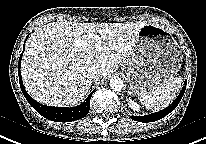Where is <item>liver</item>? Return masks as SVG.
<instances>
[{
  "instance_id": "liver-1",
  "label": "liver",
  "mask_w": 206,
  "mask_h": 144,
  "mask_svg": "<svg viewBox=\"0 0 206 144\" xmlns=\"http://www.w3.org/2000/svg\"><path fill=\"white\" fill-rule=\"evenodd\" d=\"M145 24L60 21L38 28L28 39L21 62L27 93L49 106L78 105L90 89L88 70L99 69L103 78L116 71L132 55ZM96 32L101 52L95 50Z\"/></svg>"
}]
</instances>
